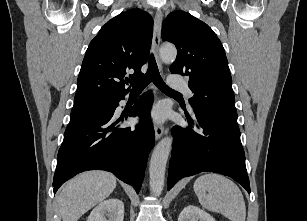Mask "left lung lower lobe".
<instances>
[{"label": "left lung lower lobe", "instance_id": "left-lung-lower-lobe-1", "mask_svg": "<svg viewBox=\"0 0 307 221\" xmlns=\"http://www.w3.org/2000/svg\"><path fill=\"white\" fill-rule=\"evenodd\" d=\"M194 115L186 112L188 127H173L168 190L183 177L210 171L233 178L250 193L239 128L204 111Z\"/></svg>", "mask_w": 307, "mask_h": 221}]
</instances>
